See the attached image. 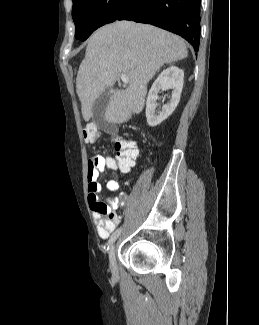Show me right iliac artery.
<instances>
[{"label": "right iliac artery", "mask_w": 259, "mask_h": 325, "mask_svg": "<svg viewBox=\"0 0 259 325\" xmlns=\"http://www.w3.org/2000/svg\"><path fill=\"white\" fill-rule=\"evenodd\" d=\"M121 227L120 228H118L112 235H111V237H110V239H109V241H108V243H109V245H111L116 239H117V237L120 235V233H121Z\"/></svg>", "instance_id": "right-iliac-artery-1"}]
</instances>
